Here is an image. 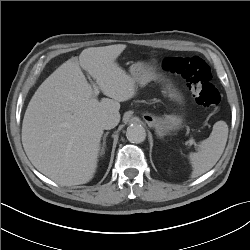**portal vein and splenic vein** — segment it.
<instances>
[{
	"instance_id": "18ae733b",
	"label": "portal vein and splenic vein",
	"mask_w": 250,
	"mask_h": 250,
	"mask_svg": "<svg viewBox=\"0 0 250 250\" xmlns=\"http://www.w3.org/2000/svg\"><path fill=\"white\" fill-rule=\"evenodd\" d=\"M93 88H94V94L98 95L99 94V87L96 84H93ZM190 144H194L196 145L195 141L193 139H190L189 141Z\"/></svg>"
}]
</instances>
